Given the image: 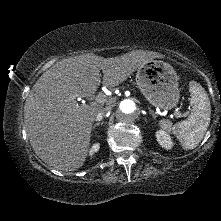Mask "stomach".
Returning <instances> with one entry per match:
<instances>
[{"label": "stomach", "mask_w": 221, "mask_h": 221, "mask_svg": "<svg viewBox=\"0 0 221 221\" xmlns=\"http://www.w3.org/2000/svg\"><path fill=\"white\" fill-rule=\"evenodd\" d=\"M136 83L154 107L170 110L179 101L178 76L168 62L151 60L140 66L136 73Z\"/></svg>", "instance_id": "1"}]
</instances>
